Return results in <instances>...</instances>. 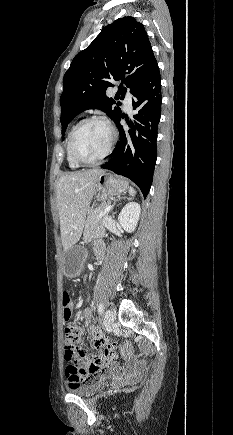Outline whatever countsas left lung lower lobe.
Segmentation results:
<instances>
[{
    "label": "left lung lower lobe",
    "instance_id": "obj_1",
    "mask_svg": "<svg viewBox=\"0 0 233 435\" xmlns=\"http://www.w3.org/2000/svg\"><path fill=\"white\" fill-rule=\"evenodd\" d=\"M161 78L156 64L132 93L133 109L137 114L127 120L129 129L120 124L122 115L114 122L120 140L111 159L101 168L131 179L142 191L144 198L149 193L157 159V129L161 116Z\"/></svg>",
    "mask_w": 233,
    "mask_h": 435
}]
</instances>
